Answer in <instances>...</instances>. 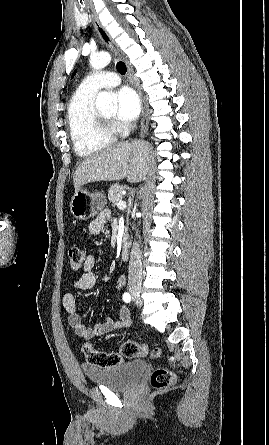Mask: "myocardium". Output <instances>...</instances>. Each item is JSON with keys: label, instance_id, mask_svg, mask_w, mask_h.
<instances>
[{"label": "myocardium", "instance_id": "myocardium-1", "mask_svg": "<svg viewBox=\"0 0 269 445\" xmlns=\"http://www.w3.org/2000/svg\"><path fill=\"white\" fill-rule=\"evenodd\" d=\"M97 119H98L99 125L103 129H105V130H112L113 122H112V119L110 117H106L103 114L97 112Z\"/></svg>", "mask_w": 269, "mask_h": 445}]
</instances>
